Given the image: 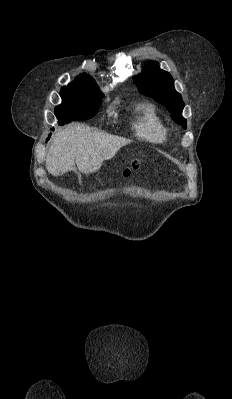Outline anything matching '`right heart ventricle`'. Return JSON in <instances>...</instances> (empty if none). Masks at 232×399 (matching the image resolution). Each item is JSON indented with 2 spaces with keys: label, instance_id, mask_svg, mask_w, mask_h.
Listing matches in <instances>:
<instances>
[{
  "label": "right heart ventricle",
  "instance_id": "1",
  "mask_svg": "<svg viewBox=\"0 0 232 399\" xmlns=\"http://www.w3.org/2000/svg\"><path fill=\"white\" fill-rule=\"evenodd\" d=\"M130 130L138 138L152 143H164L169 136V129L158 108L149 103L137 105Z\"/></svg>",
  "mask_w": 232,
  "mask_h": 399
}]
</instances>
